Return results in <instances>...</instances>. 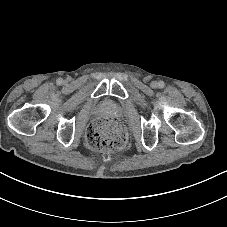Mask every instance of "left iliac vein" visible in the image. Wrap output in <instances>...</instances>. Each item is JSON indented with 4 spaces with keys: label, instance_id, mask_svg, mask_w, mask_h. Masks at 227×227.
Instances as JSON below:
<instances>
[{
    "label": "left iliac vein",
    "instance_id": "left-iliac-vein-1",
    "mask_svg": "<svg viewBox=\"0 0 227 227\" xmlns=\"http://www.w3.org/2000/svg\"><path fill=\"white\" fill-rule=\"evenodd\" d=\"M151 87L152 88H157L158 87V83L156 81H152L151 82Z\"/></svg>",
    "mask_w": 227,
    "mask_h": 227
}]
</instances>
